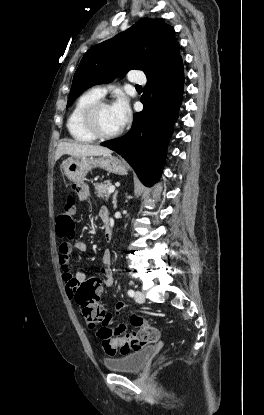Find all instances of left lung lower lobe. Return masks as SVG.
Listing matches in <instances>:
<instances>
[{
    "mask_svg": "<svg viewBox=\"0 0 264 415\" xmlns=\"http://www.w3.org/2000/svg\"><path fill=\"white\" fill-rule=\"evenodd\" d=\"M183 89L184 70L180 56L162 70L147 76L141 97L144 109L134 114L130 131L121 138L101 143L120 154L145 185H153L161 175Z\"/></svg>",
    "mask_w": 264,
    "mask_h": 415,
    "instance_id": "left-lung-lower-lobe-1",
    "label": "left lung lower lobe"
}]
</instances>
